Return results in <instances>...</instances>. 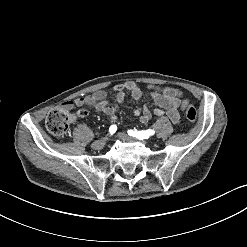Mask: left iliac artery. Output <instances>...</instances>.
<instances>
[{
	"label": "left iliac artery",
	"instance_id": "1",
	"mask_svg": "<svg viewBox=\"0 0 247 247\" xmlns=\"http://www.w3.org/2000/svg\"><path fill=\"white\" fill-rule=\"evenodd\" d=\"M128 134L130 136L136 137L140 140L147 139L150 136L155 134V131L153 129H148V130H142V131H137V130H128Z\"/></svg>",
	"mask_w": 247,
	"mask_h": 247
}]
</instances>
